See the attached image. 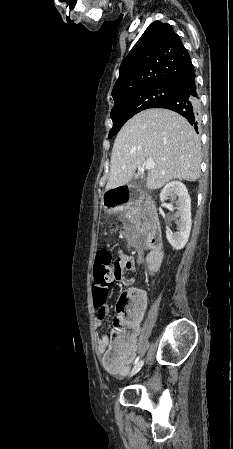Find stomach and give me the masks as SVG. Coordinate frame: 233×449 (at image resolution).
<instances>
[{
    "instance_id": "0dacf381",
    "label": "stomach",
    "mask_w": 233,
    "mask_h": 449,
    "mask_svg": "<svg viewBox=\"0 0 233 449\" xmlns=\"http://www.w3.org/2000/svg\"><path fill=\"white\" fill-rule=\"evenodd\" d=\"M116 206H105V208H107L108 210H113L115 209Z\"/></svg>"
}]
</instances>
